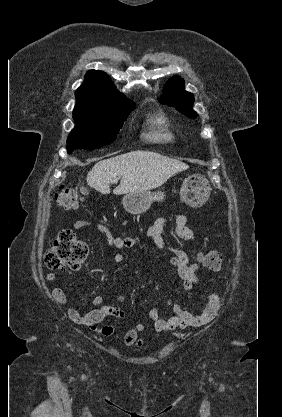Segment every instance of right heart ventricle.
Returning a JSON list of instances; mask_svg holds the SVG:
<instances>
[{"mask_svg":"<svg viewBox=\"0 0 282 417\" xmlns=\"http://www.w3.org/2000/svg\"><path fill=\"white\" fill-rule=\"evenodd\" d=\"M149 131L147 139L154 142H166L171 139L168 124L162 115H156L148 120Z\"/></svg>","mask_w":282,"mask_h":417,"instance_id":"right-heart-ventricle-1","label":"right heart ventricle"}]
</instances>
